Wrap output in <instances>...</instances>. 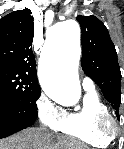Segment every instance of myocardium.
Here are the masks:
<instances>
[{"instance_id": "1", "label": "myocardium", "mask_w": 124, "mask_h": 149, "mask_svg": "<svg viewBox=\"0 0 124 149\" xmlns=\"http://www.w3.org/2000/svg\"><path fill=\"white\" fill-rule=\"evenodd\" d=\"M98 131L109 139H114L119 132L118 122L110 113L101 115L97 119Z\"/></svg>"}]
</instances>
